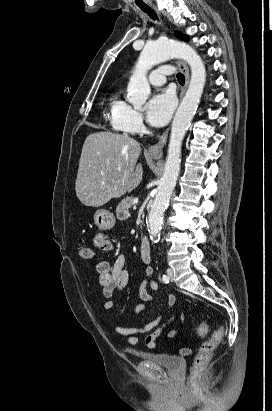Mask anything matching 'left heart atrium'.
Listing matches in <instances>:
<instances>
[{"instance_id": "obj_1", "label": "left heart atrium", "mask_w": 272, "mask_h": 411, "mask_svg": "<svg viewBox=\"0 0 272 411\" xmlns=\"http://www.w3.org/2000/svg\"><path fill=\"white\" fill-rule=\"evenodd\" d=\"M175 109V98L168 91L154 95L147 104L148 122L155 126L165 125Z\"/></svg>"}]
</instances>
